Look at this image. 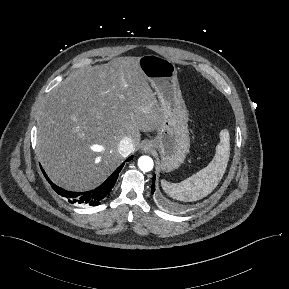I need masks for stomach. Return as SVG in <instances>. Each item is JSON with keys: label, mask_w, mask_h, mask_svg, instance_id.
I'll use <instances>...</instances> for the list:
<instances>
[{"label": "stomach", "mask_w": 289, "mask_h": 289, "mask_svg": "<svg viewBox=\"0 0 289 289\" xmlns=\"http://www.w3.org/2000/svg\"><path fill=\"white\" fill-rule=\"evenodd\" d=\"M138 63L163 109V122L152 144L159 150L161 169L170 172L181 166L190 148L188 111L181 95L177 69L169 59L154 54L139 57Z\"/></svg>", "instance_id": "1"}]
</instances>
